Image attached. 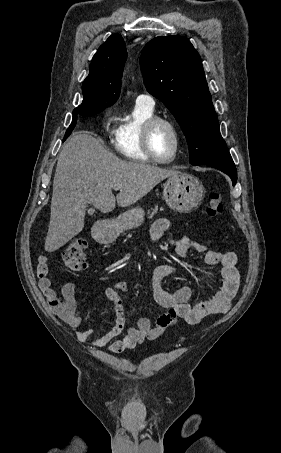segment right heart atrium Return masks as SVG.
Segmentation results:
<instances>
[{"label":"right heart atrium","instance_id":"right-heart-atrium-1","mask_svg":"<svg viewBox=\"0 0 281 453\" xmlns=\"http://www.w3.org/2000/svg\"><path fill=\"white\" fill-rule=\"evenodd\" d=\"M113 116H114V108L110 107L108 108L103 117H102V129L104 132H106L109 136H112L114 134V121H113Z\"/></svg>","mask_w":281,"mask_h":453}]
</instances>
